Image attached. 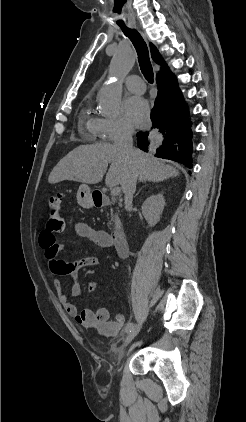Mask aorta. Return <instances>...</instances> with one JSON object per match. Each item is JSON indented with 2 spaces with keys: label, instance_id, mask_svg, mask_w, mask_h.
Returning <instances> with one entry per match:
<instances>
[{
  "label": "aorta",
  "instance_id": "aorta-1",
  "mask_svg": "<svg viewBox=\"0 0 246 422\" xmlns=\"http://www.w3.org/2000/svg\"><path fill=\"white\" fill-rule=\"evenodd\" d=\"M134 61V53L130 48H120L112 57L109 67L110 83L99 92V104L105 115L116 116L119 113L122 82L133 67Z\"/></svg>",
  "mask_w": 246,
  "mask_h": 422
}]
</instances>
